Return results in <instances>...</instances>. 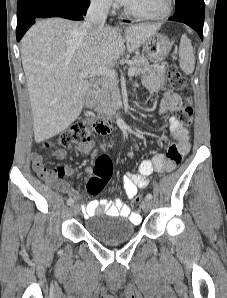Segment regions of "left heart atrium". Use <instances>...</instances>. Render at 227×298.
I'll return each mask as SVG.
<instances>
[{
    "label": "left heart atrium",
    "instance_id": "39dd6f15",
    "mask_svg": "<svg viewBox=\"0 0 227 298\" xmlns=\"http://www.w3.org/2000/svg\"><path fill=\"white\" fill-rule=\"evenodd\" d=\"M119 3L126 5L130 0H117Z\"/></svg>",
    "mask_w": 227,
    "mask_h": 298
}]
</instances>
